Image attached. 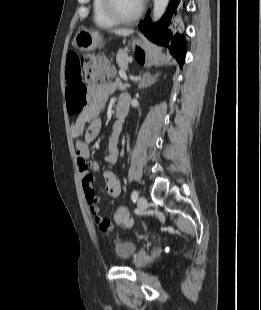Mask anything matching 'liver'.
<instances>
[{
    "instance_id": "liver-1",
    "label": "liver",
    "mask_w": 261,
    "mask_h": 310,
    "mask_svg": "<svg viewBox=\"0 0 261 310\" xmlns=\"http://www.w3.org/2000/svg\"><path fill=\"white\" fill-rule=\"evenodd\" d=\"M115 34L126 37L133 33L132 30L129 29H119L114 31Z\"/></svg>"
}]
</instances>
